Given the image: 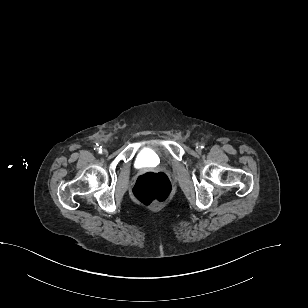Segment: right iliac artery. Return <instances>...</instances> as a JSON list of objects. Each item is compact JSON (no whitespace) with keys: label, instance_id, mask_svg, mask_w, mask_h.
<instances>
[{"label":"right iliac artery","instance_id":"obj_1","mask_svg":"<svg viewBox=\"0 0 308 308\" xmlns=\"http://www.w3.org/2000/svg\"><path fill=\"white\" fill-rule=\"evenodd\" d=\"M96 149H97V151H98L99 153H102V147H101V146L98 147V144H97V148H96Z\"/></svg>","mask_w":308,"mask_h":308}]
</instances>
